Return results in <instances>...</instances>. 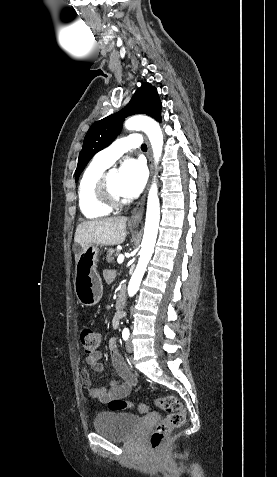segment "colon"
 <instances>
[{"mask_svg": "<svg viewBox=\"0 0 277 477\" xmlns=\"http://www.w3.org/2000/svg\"><path fill=\"white\" fill-rule=\"evenodd\" d=\"M80 342L84 354L92 355L95 353L101 343V333L91 325L85 324L80 330ZM156 404L167 413V416L160 421L153 429L150 436V445L152 449L159 450L173 429L181 427L186 420L185 410L174 395H167L157 399ZM136 407L140 413H146L148 406L145 404L135 405L124 399H113L109 402V408L113 411H122Z\"/></svg>", "mask_w": 277, "mask_h": 477, "instance_id": "obj_1", "label": "colon"}]
</instances>
